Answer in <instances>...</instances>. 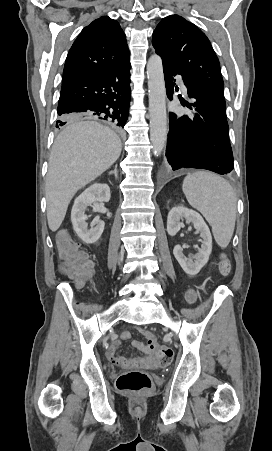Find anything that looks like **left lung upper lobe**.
<instances>
[{"instance_id":"1","label":"left lung upper lobe","mask_w":272,"mask_h":451,"mask_svg":"<svg viewBox=\"0 0 272 451\" xmlns=\"http://www.w3.org/2000/svg\"><path fill=\"white\" fill-rule=\"evenodd\" d=\"M152 44L162 61L173 65L189 81L226 106L219 60L206 35L178 15L163 18Z\"/></svg>"}]
</instances>
